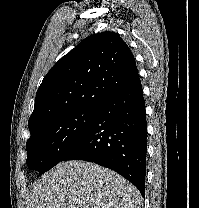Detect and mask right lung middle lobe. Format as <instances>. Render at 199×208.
<instances>
[{"instance_id":"1","label":"right lung middle lobe","mask_w":199,"mask_h":208,"mask_svg":"<svg viewBox=\"0 0 199 208\" xmlns=\"http://www.w3.org/2000/svg\"><path fill=\"white\" fill-rule=\"evenodd\" d=\"M96 107H81L58 114L30 130L26 143L28 167L44 173L58 164L84 135Z\"/></svg>"}]
</instances>
